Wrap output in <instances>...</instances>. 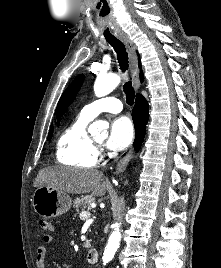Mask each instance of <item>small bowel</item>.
I'll list each match as a JSON object with an SVG mask.
<instances>
[{"label": "small bowel", "mask_w": 221, "mask_h": 268, "mask_svg": "<svg viewBox=\"0 0 221 268\" xmlns=\"http://www.w3.org/2000/svg\"><path fill=\"white\" fill-rule=\"evenodd\" d=\"M53 230L43 235V243L37 248L36 251V265L38 268H46L47 244L54 240Z\"/></svg>", "instance_id": "1"}]
</instances>
